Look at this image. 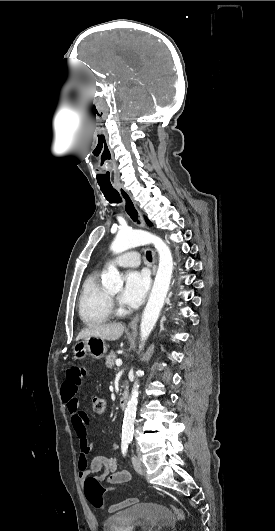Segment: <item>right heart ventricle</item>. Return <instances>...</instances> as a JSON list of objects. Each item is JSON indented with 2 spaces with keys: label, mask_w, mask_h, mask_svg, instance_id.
Masks as SVG:
<instances>
[{
  "label": "right heart ventricle",
  "mask_w": 275,
  "mask_h": 531,
  "mask_svg": "<svg viewBox=\"0 0 275 531\" xmlns=\"http://www.w3.org/2000/svg\"><path fill=\"white\" fill-rule=\"evenodd\" d=\"M78 307L81 319L88 325H100L110 320L111 298L101 286L97 273H91L84 279Z\"/></svg>",
  "instance_id": "obj_1"
}]
</instances>
